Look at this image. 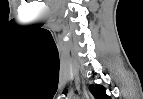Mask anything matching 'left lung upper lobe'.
Wrapping results in <instances>:
<instances>
[{
  "instance_id": "obj_1",
  "label": "left lung upper lobe",
  "mask_w": 143,
  "mask_h": 99,
  "mask_svg": "<svg viewBox=\"0 0 143 99\" xmlns=\"http://www.w3.org/2000/svg\"><path fill=\"white\" fill-rule=\"evenodd\" d=\"M90 91L96 99H110V97L106 95L105 88L101 85H91Z\"/></svg>"
}]
</instances>
